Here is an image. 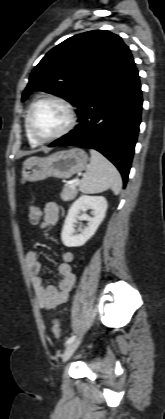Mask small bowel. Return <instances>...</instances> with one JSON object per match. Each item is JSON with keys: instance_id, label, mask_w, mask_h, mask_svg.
Instances as JSON below:
<instances>
[{"instance_id": "small-bowel-1", "label": "small bowel", "mask_w": 165, "mask_h": 419, "mask_svg": "<svg viewBox=\"0 0 165 419\" xmlns=\"http://www.w3.org/2000/svg\"><path fill=\"white\" fill-rule=\"evenodd\" d=\"M59 214V207L55 202L47 203L41 216L40 227L47 229L56 225L59 220ZM74 257V253L71 250H63L61 252L60 262L57 266L58 284L57 286H46L41 275L43 265L39 260L37 252L30 250L26 253L25 262L29 271L35 300L41 309L51 310L67 301L69 292L76 280L72 270Z\"/></svg>"}]
</instances>
